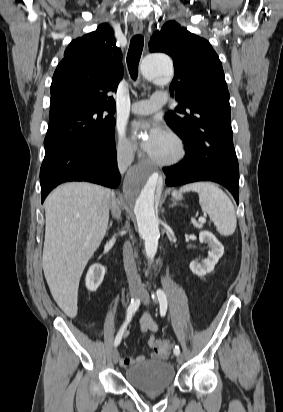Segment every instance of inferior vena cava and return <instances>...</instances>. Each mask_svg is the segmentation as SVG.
<instances>
[{
	"instance_id": "inferior-vena-cava-1",
	"label": "inferior vena cava",
	"mask_w": 283,
	"mask_h": 412,
	"mask_svg": "<svg viewBox=\"0 0 283 412\" xmlns=\"http://www.w3.org/2000/svg\"><path fill=\"white\" fill-rule=\"evenodd\" d=\"M134 159L133 149L130 146L120 148L117 152V165L121 174H124L127 168L132 164ZM110 209L115 218L120 219V208L112 193L110 198ZM123 262L130 287L140 286L137 268L133 256L131 244L126 242L123 246Z\"/></svg>"
}]
</instances>
